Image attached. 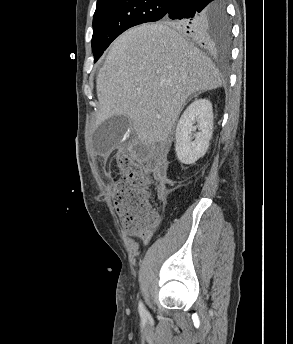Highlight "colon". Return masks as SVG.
<instances>
[{
  "label": "colon",
  "instance_id": "1",
  "mask_svg": "<svg viewBox=\"0 0 293 344\" xmlns=\"http://www.w3.org/2000/svg\"><path fill=\"white\" fill-rule=\"evenodd\" d=\"M122 180L114 187V207L121 224L130 235L147 236L157 226L158 211L149 200V179L128 155L115 158Z\"/></svg>",
  "mask_w": 293,
  "mask_h": 344
}]
</instances>
